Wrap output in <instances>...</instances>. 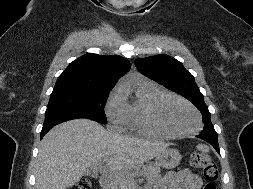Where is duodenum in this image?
I'll return each mask as SVG.
<instances>
[{
	"instance_id": "obj_1",
	"label": "duodenum",
	"mask_w": 253,
	"mask_h": 189,
	"mask_svg": "<svg viewBox=\"0 0 253 189\" xmlns=\"http://www.w3.org/2000/svg\"><path fill=\"white\" fill-rule=\"evenodd\" d=\"M113 183V175L110 172H106L101 176L100 184L103 189H110Z\"/></svg>"
}]
</instances>
